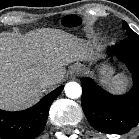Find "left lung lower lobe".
I'll use <instances>...</instances> for the list:
<instances>
[{"label":"left lung lower lobe","instance_id":"left-lung-lower-lobe-1","mask_svg":"<svg viewBox=\"0 0 139 139\" xmlns=\"http://www.w3.org/2000/svg\"><path fill=\"white\" fill-rule=\"evenodd\" d=\"M108 55H115L132 72L133 88L125 95H112L92 79L81 81L82 108L91 125L98 131L122 134L139 123V36H128L109 47Z\"/></svg>","mask_w":139,"mask_h":139}]
</instances>
